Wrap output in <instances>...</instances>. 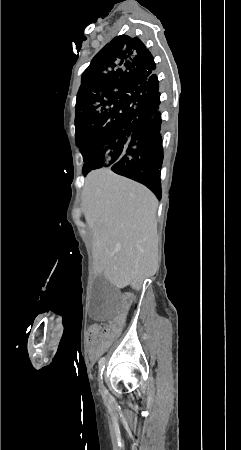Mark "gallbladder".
<instances>
[{"label":"gallbladder","mask_w":241,"mask_h":450,"mask_svg":"<svg viewBox=\"0 0 241 450\" xmlns=\"http://www.w3.org/2000/svg\"><path fill=\"white\" fill-rule=\"evenodd\" d=\"M121 293L113 281L106 276H97L92 296L88 302L89 314L95 323H110L119 310Z\"/></svg>","instance_id":"bac80fb5"}]
</instances>
